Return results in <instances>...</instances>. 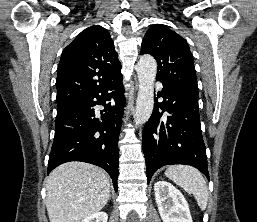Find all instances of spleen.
I'll return each mask as SVG.
<instances>
[{
    "instance_id": "spleen-1",
    "label": "spleen",
    "mask_w": 257,
    "mask_h": 222,
    "mask_svg": "<svg viewBox=\"0 0 257 222\" xmlns=\"http://www.w3.org/2000/svg\"><path fill=\"white\" fill-rule=\"evenodd\" d=\"M166 177L193 194L201 210L208 202V188L202 174L195 168L185 165H174L165 171Z\"/></svg>"
}]
</instances>
